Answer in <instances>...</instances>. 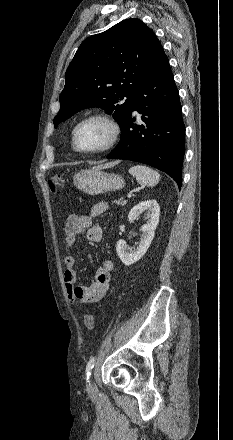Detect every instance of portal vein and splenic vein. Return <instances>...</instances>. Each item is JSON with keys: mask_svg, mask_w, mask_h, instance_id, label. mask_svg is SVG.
Returning a JSON list of instances; mask_svg holds the SVG:
<instances>
[{"mask_svg": "<svg viewBox=\"0 0 233 440\" xmlns=\"http://www.w3.org/2000/svg\"><path fill=\"white\" fill-rule=\"evenodd\" d=\"M128 198H131L132 197V195L131 194H128V196H127Z\"/></svg>", "mask_w": 233, "mask_h": 440, "instance_id": "1", "label": "portal vein and splenic vein"}]
</instances>
